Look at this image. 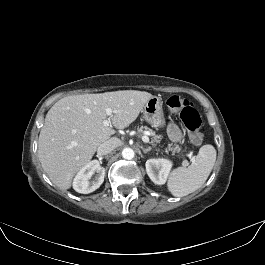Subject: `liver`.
Listing matches in <instances>:
<instances>
[{"instance_id": "obj_1", "label": "liver", "mask_w": 265, "mask_h": 265, "mask_svg": "<svg viewBox=\"0 0 265 265\" xmlns=\"http://www.w3.org/2000/svg\"><path fill=\"white\" fill-rule=\"evenodd\" d=\"M151 97L148 92L123 90L57 101L45 117L38 141V157L51 181L69 189L75 174L116 133L103 121L108 118L115 128L124 129L137 119ZM108 108L113 111L111 116L106 114Z\"/></svg>"}]
</instances>
